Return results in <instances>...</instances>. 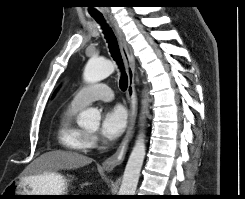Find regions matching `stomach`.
I'll return each instance as SVG.
<instances>
[{"label":"stomach","mask_w":245,"mask_h":199,"mask_svg":"<svg viewBox=\"0 0 245 199\" xmlns=\"http://www.w3.org/2000/svg\"><path fill=\"white\" fill-rule=\"evenodd\" d=\"M68 179L56 171L44 172L32 177H24L9 184V193L15 199L45 198L14 195H66ZM59 198V197H52Z\"/></svg>","instance_id":"stomach-1"}]
</instances>
